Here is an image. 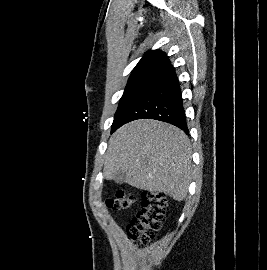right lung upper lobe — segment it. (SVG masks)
I'll return each instance as SVG.
<instances>
[{
    "label": "right lung upper lobe",
    "instance_id": "1",
    "mask_svg": "<svg viewBox=\"0 0 267 270\" xmlns=\"http://www.w3.org/2000/svg\"><path fill=\"white\" fill-rule=\"evenodd\" d=\"M170 65L167 55L160 50L147 52L132 70L129 80L146 76H156L160 71Z\"/></svg>",
    "mask_w": 267,
    "mask_h": 270
}]
</instances>
